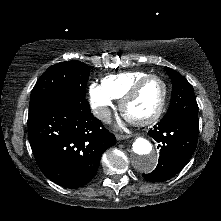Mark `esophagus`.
Here are the masks:
<instances>
[{
	"label": "esophagus",
	"mask_w": 221,
	"mask_h": 221,
	"mask_svg": "<svg viewBox=\"0 0 221 221\" xmlns=\"http://www.w3.org/2000/svg\"><path fill=\"white\" fill-rule=\"evenodd\" d=\"M116 138H117V140H124V139H128L129 136L128 135L117 134Z\"/></svg>",
	"instance_id": "34e87169"
}]
</instances>
